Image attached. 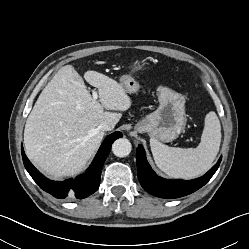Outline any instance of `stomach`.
I'll return each instance as SVG.
<instances>
[{"mask_svg":"<svg viewBox=\"0 0 249 249\" xmlns=\"http://www.w3.org/2000/svg\"><path fill=\"white\" fill-rule=\"evenodd\" d=\"M130 73L123 75L120 82L127 93H134L139 89L133 73L146 69V64L135 61L129 66ZM159 107L153 113L137 122L135 130L146 132L150 137L162 142L175 140L185 129L187 118L184 97L164 86L157 88Z\"/></svg>","mask_w":249,"mask_h":249,"instance_id":"stomach-1","label":"stomach"}]
</instances>
